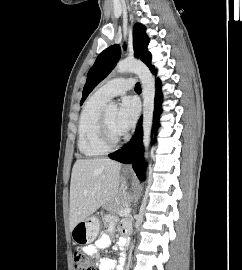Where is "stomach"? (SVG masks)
<instances>
[{
	"mask_svg": "<svg viewBox=\"0 0 242 270\" xmlns=\"http://www.w3.org/2000/svg\"><path fill=\"white\" fill-rule=\"evenodd\" d=\"M100 229V222L96 216L87 217L79 222L71 230V237L74 244L87 245L93 242Z\"/></svg>",
	"mask_w": 242,
	"mask_h": 270,
	"instance_id": "obj_1",
	"label": "stomach"
}]
</instances>
